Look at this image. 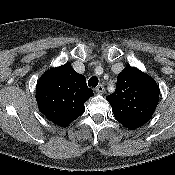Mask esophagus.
Wrapping results in <instances>:
<instances>
[{
	"label": "esophagus",
	"instance_id": "esophagus-1",
	"mask_svg": "<svg viewBox=\"0 0 175 175\" xmlns=\"http://www.w3.org/2000/svg\"><path fill=\"white\" fill-rule=\"evenodd\" d=\"M96 93L102 94L105 91L104 85L100 84L95 89Z\"/></svg>",
	"mask_w": 175,
	"mask_h": 175
}]
</instances>
